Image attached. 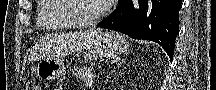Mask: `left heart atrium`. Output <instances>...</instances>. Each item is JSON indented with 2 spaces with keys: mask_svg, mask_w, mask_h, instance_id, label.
Masks as SVG:
<instances>
[{
  "mask_svg": "<svg viewBox=\"0 0 216 90\" xmlns=\"http://www.w3.org/2000/svg\"><path fill=\"white\" fill-rule=\"evenodd\" d=\"M117 0H98V3H116Z\"/></svg>",
  "mask_w": 216,
  "mask_h": 90,
  "instance_id": "left-heart-atrium-1",
  "label": "left heart atrium"
}]
</instances>
